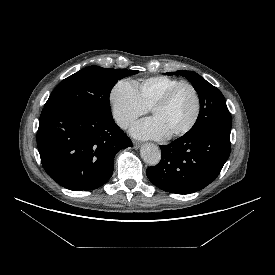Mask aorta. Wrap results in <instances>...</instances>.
<instances>
[{
  "mask_svg": "<svg viewBox=\"0 0 275 275\" xmlns=\"http://www.w3.org/2000/svg\"><path fill=\"white\" fill-rule=\"evenodd\" d=\"M141 157L145 163L155 166L161 160V151L158 146L147 143L141 148Z\"/></svg>",
  "mask_w": 275,
  "mask_h": 275,
  "instance_id": "aorta-1",
  "label": "aorta"
}]
</instances>
